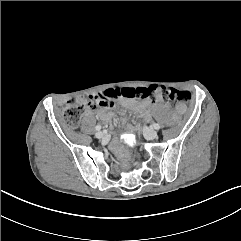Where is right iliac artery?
Instances as JSON below:
<instances>
[{
	"label": "right iliac artery",
	"instance_id": "right-iliac-artery-1",
	"mask_svg": "<svg viewBox=\"0 0 241 241\" xmlns=\"http://www.w3.org/2000/svg\"><path fill=\"white\" fill-rule=\"evenodd\" d=\"M95 129H96L97 131H100V130H101V125H97V126L95 127Z\"/></svg>",
	"mask_w": 241,
	"mask_h": 241
}]
</instances>
